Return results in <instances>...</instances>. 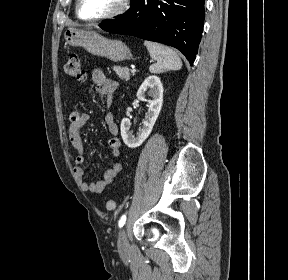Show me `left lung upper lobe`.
<instances>
[{
  "mask_svg": "<svg viewBox=\"0 0 288 280\" xmlns=\"http://www.w3.org/2000/svg\"><path fill=\"white\" fill-rule=\"evenodd\" d=\"M135 0H132L130 4H132Z\"/></svg>",
  "mask_w": 288,
  "mask_h": 280,
  "instance_id": "5c2ea615",
  "label": "left lung upper lobe"
}]
</instances>
